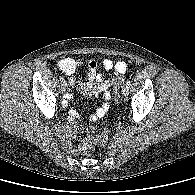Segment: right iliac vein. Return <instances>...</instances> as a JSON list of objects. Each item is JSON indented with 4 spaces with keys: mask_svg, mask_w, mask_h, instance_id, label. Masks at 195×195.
Masks as SVG:
<instances>
[{
    "mask_svg": "<svg viewBox=\"0 0 195 195\" xmlns=\"http://www.w3.org/2000/svg\"><path fill=\"white\" fill-rule=\"evenodd\" d=\"M66 88H67V83L64 81V82L61 84V90H62V92H65Z\"/></svg>",
    "mask_w": 195,
    "mask_h": 195,
    "instance_id": "right-iliac-vein-1",
    "label": "right iliac vein"
}]
</instances>
